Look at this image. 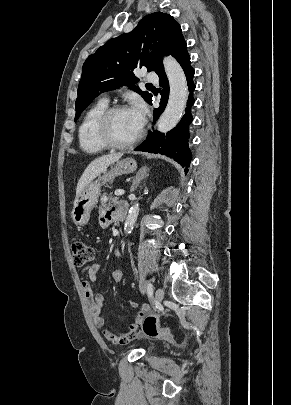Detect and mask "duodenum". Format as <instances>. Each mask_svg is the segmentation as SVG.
I'll return each instance as SVG.
<instances>
[{
  "label": "duodenum",
  "mask_w": 291,
  "mask_h": 405,
  "mask_svg": "<svg viewBox=\"0 0 291 405\" xmlns=\"http://www.w3.org/2000/svg\"><path fill=\"white\" fill-rule=\"evenodd\" d=\"M125 217H126V207L122 205L117 209V218L123 220Z\"/></svg>",
  "instance_id": "duodenum-1"
}]
</instances>
